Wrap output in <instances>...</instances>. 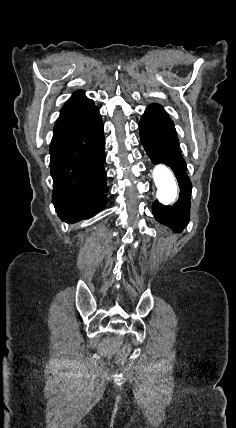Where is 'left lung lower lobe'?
<instances>
[{"label": "left lung lower lobe", "mask_w": 236, "mask_h": 428, "mask_svg": "<svg viewBox=\"0 0 236 428\" xmlns=\"http://www.w3.org/2000/svg\"><path fill=\"white\" fill-rule=\"evenodd\" d=\"M139 129L141 142L151 161L169 166L180 188L176 204L164 206L156 200L153 203V213L157 221L180 232L189 222L192 186L186 173V163L181 154L174 123L162 106L151 104L141 118Z\"/></svg>", "instance_id": "left-lung-lower-lobe-1"}]
</instances>
